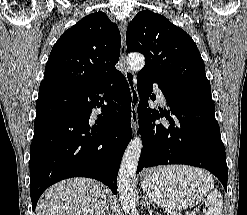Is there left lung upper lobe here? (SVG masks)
<instances>
[{
	"label": "left lung upper lobe",
	"instance_id": "obj_1",
	"mask_svg": "<svg viewBox=\"0 0 247 215\" xmlns=\"http://www.w3.org/2000/svg\"><path fill=\"white\" fill-rule=\"evenodd\" d=\"M126 42L128 52L145 55L142 72L180 90L211 97L195 42L164 16L149 10L139 12L127 28Z\"/></svg>",
	"mask_w": 247,
	"mask_h": 215
}]
</instances>
